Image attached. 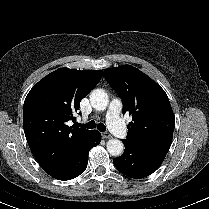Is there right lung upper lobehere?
<instances>
[{
  "label": "right lung upper lobe",
  "instance_id": "right-lung-upper-lobe-1",
  "mask_svg": "<svg viewBox=\"0 0 209 209\" xmlns=\"http://www.w3.org/2000/svg\"><path fill=\"white\" fill-rule=\"evenodd\" d=\"M101 70L60 68L40 80L26 96L24 133L32 154L49 175L62 167L93 131L68 126L81 100L102 78Z\"/></svg>",
  "mask_w": 209,
  "mask_h": 209
}]
</instances>
